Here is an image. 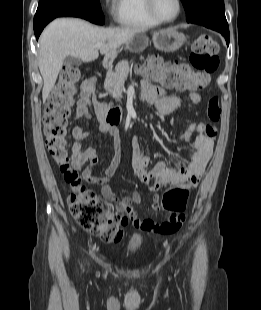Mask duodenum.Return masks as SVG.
Instances as JSON below:
<instances>
[{
  "label": "duodenum",
  "mask_w": 261,
  "mask_h": 310,
  "mask_svg": "<svg viewBox=\"0 0 261 310\" xmlns=\"http://www.w3.org/2000/svg\"><path fill=\"white\" fill-rule=\"evenodd\" d=\"M110 65V61L106 60L104 66L107 68ZM102 106L105 109V122L110 126L118 125L121 120V110L118 107H106L105 102H102Z\"/></svg>",
  "instance_id": "duodenum-1"
}]
</instances>
